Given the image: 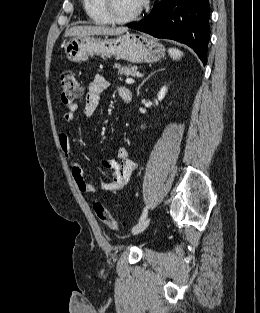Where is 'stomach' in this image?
Here are the masks:
<instances>
[{
	"instance_id": "0dacf381",
	"label": "stomach",
	"mask_w": 260,
	"mask_h": 313,
	"mask_svg": "<svg viewBox=\"0 0 260 313\" xmlns=\"http://www.w3.org/2000/svg\"><path fill=\"white\" fill-rule=\"evenodd\" d=\"M164 47L155 39L127 33L116 38L104 39L90 36L73 37L65 45L69 61L80 62L92 55H113L132 63H153L164 57Z\"/></svg>"
}]
</instances>
